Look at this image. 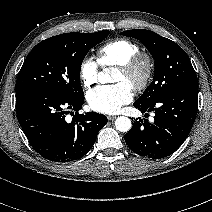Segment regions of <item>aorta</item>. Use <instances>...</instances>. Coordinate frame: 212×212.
<instances>
[{
	"instance_id": "obj_1",
	"label": "aorta",
	"mask_w": 212,
	"mask_h": 212,
	"mask_svg": "<svg viewBox=\"0 0 212 212\" xmlns=\"http://www.w3.org/2000/svg\"><path fill=\"white\" fill-rule=\"evenodd\" d=\"M98 78L100 82H106L108 79L107 72L99 73ZM115 126L120 132H128L131 129L132 124L128 117L120 116L115 120Z\"/></svg>"
}]
</instances>
